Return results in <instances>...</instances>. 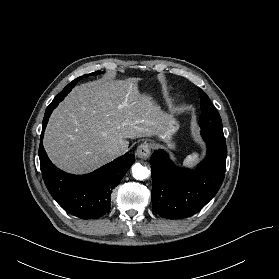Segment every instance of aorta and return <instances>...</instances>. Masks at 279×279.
I'll use <instances>...</instances> for the list:
<instances>
[{"mask_svg":"<svg viewBox=\"0 0 279 279\" xmlns=\"http://www.w3.org/2000/svg\"><path fill=\"white\" fill-rule=\"evenodd\" d=\"M149 174H150V172L147 169V167H144L139 163H135L132 166V175L137 180L147 179L149 177Z\"/></svg>","mask_w":279,"mask_h":279,"instance_id":"762f6f07","label":"aorta"}]
</instances>
